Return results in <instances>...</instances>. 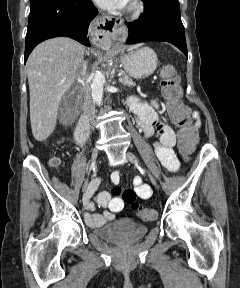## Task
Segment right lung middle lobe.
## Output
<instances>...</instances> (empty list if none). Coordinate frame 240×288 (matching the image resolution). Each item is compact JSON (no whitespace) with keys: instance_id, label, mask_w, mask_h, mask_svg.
Masks as SVG:
<instances>
[{"instance_id":"dd1d6c3e","label":"right lung middle lobe","mask_w":240,"mask_h":288,"mask_svg":"<svg viewBox=\"0 0 240 288\" xmlns=\"http://www.w3.org/2000/svg\"><path fill=\"white\" fill-rule=\"evenodd\" d=\"M47 0H31L30 2V7L31 9H34L35 7H37L38 5H40L41 3L45 2Z\"/></svg>"}]
</instances>
